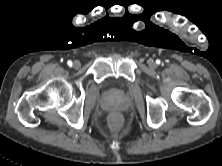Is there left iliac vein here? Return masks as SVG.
<instances>
[{"label": "left iliac vein", "instance_id": "obj_1", "mask_svg": "<svg viewBox=\"0 0 222 166\" xmlns=\"http://www.w3.org/2000/svg\"><path fill=\"white\" fill-rule=\"evenodd\" d=\"M149 65H150L151 67H153V66H154V63H153V62H150Z\"/></svg>", "mask_w": 222, "mask_h": 166}]
</instances>
